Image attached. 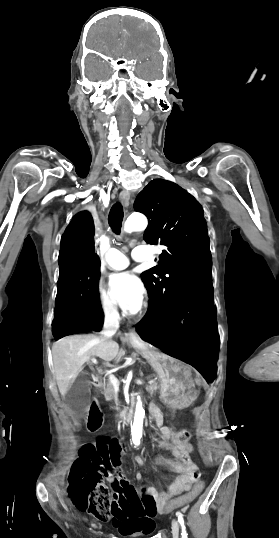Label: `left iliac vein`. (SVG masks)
I'll return each instance as SVG.
<instances>
[{
	"mask_svg": "<svg viewBox=\"0 0 279 538\" xmlns=\"http://www.w3.org/2000/svg\"><path fill=\"white\" fill-rule=\"evenodd\" d=\"M172 534L173 538H179V523L175 519L172 521Z\"/></svg>",
	"mask_w": 279,
	"mask_h": 538,
	"instance_id": "1",
	"label": "left iliac vein"
}]
</instances>
